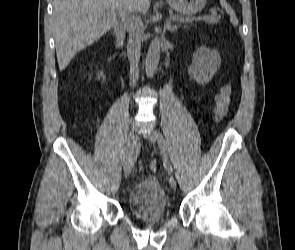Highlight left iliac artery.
Listing matches in <instances>:
<instances>
[{
	"mask_svg": "<svg viewBox=\"0 0 295 250\" xmlns=\"http://www.w3.org/2000/svg\"><path fill=\"white\" fill-rule=\"evenodd\" d=\"M156 138H157V142H158V146H159V149H160V152L163 156V159H164V166L165 168L167 169L169 175H172L173 173V168L167 158V146H166V142H165V139L163 137V135L157 131L156 132Z\"/></svg>",
	"mask_w": 295,
	"mask_h": 250,
	"instance_id": "left-iliac-artery-1",
	"label": "left iliac artery"
}]
</instances>
